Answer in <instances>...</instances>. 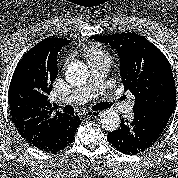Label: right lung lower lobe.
Listing matches in <instances>:
<instances>
[{"instance_id": "98d812e1", "label": "right lung lower lobe", "mask_w": 178, "mask_h": 178, "mask_svg": "<svg viewBox=\"0 0 178 178\" xmlns=\"http://www.w3.org/2000/svg\"><path fill=\"white\" fill-rule=\"evenodd\" d=\"M80 123L81 121L79 117L76 116L75 121H73L70 126L65 128L62 132L38 148L47 152H57L58 150L63 149L74 140L76 129Z\"/></svg>"}]
</instances>
